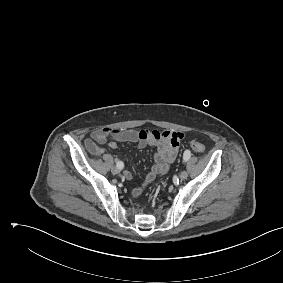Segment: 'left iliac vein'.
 I'll use <instances>...</instances> for the list:
<instances>
[{"label":"left iliac vein","instance_id":"left-iliac-vein-1","mask_svg":"<svg viewBox=\"0 0 283 283\" xmlns=\"http://www.w3.org/2000/svg\"><path fill=\"white\" fill-rule=\"evenodd\" d=\"M179 176L182 180H184L188 177V173L186 171H182Z\"/></svg>","mask_w":283,"mask_h":283}]
</instances>
